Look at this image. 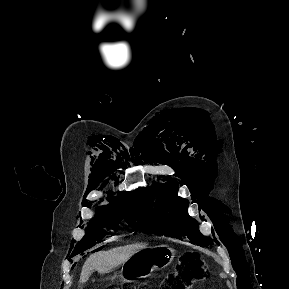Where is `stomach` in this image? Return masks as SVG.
Here are the masks:
<instances>
[{"instance_id": "stomach-1", "label": "stomach", "mask_w": 289, "mask_h": 289, "mask_svg": "<svg viewBox=\"0 0 289 289\" xmlns=\"http://www.w3.org/2000/svg\"><path fill=\"white\" fill-rule=\"evenodd\" d=\"M174 256V249L167 245L146 247L123 263L121 276L124 280L147 277L154 270L168 266Z\"/></svg>"}]
</instances>
